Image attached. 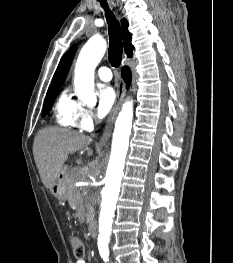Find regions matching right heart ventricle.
<instances>
[{
  "label": "right heart ventricle",
  "mask_w": 233,
  "mask_h": 263,
  "mask_svg": "<svg viewBox=\"0 0 233 263\" xmlns=\"http://www.w3.org/2000/svg\"><path fill=\"white\" fill-rule=\"evenodd\" d=\"M80 106L81 105L74 100L67 91H63L55 104L56 121L64 127H77L76 116Z\"/></svg>",
  "instance_id": "obj_1"
}]
</instances>
